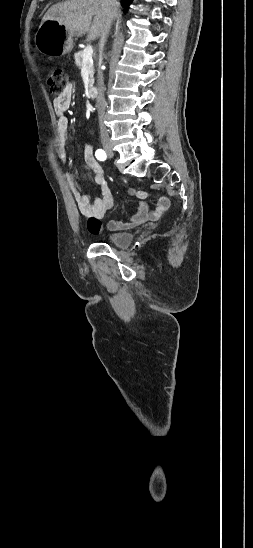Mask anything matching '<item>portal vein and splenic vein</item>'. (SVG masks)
Listing matches in <instances>:
<instances>
[{"mask_svg":"<svg viewBox=\"0 0 253 548\" xmlns=\"http://www.w3.org/2000/svg\"><path fill=\"white\" fill-rule=\"evenodd\" d=\"M93 48L91 45H88L83 51V62L86 64L89 60L92 59Z\"/></svg>","mask_w":253,"mask_h":548,"instance_id":"portal-vein-and-splenic-vein-1","label":"portal vein and splenic vein"}]
</instances>
